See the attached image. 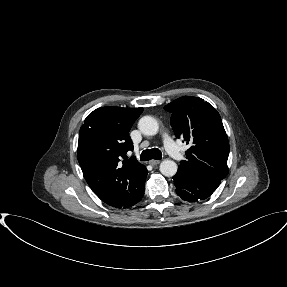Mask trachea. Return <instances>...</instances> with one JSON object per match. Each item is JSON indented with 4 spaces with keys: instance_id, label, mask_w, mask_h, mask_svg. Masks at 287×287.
<instances>
[{
    "instance_id": "1",
    "label": "trachea",
    "mask_w": 287,
    "mask_h": 287,
    "mask_svg": "<svg viewBox=\"0 0 287 287\" xmlns=\"http://www.w3.org/2000/svg\"><path fill=\"white\" fill-rule=\"evenodd\" d=\"M161 157H162L161 151L157 148H153L144 150L140 155V160L148 161L151 159H161Z\"/></svg>"
}]
</instances>
